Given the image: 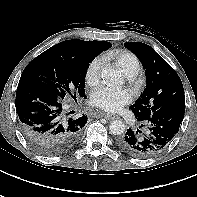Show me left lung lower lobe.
I'll use <instances>...</instances> for the list:
<instances>
[{
    "label": "left lung lower lobe",
    "mask_w": 197,
    "mask_h": 197,
    "mask_svg": "<svg viewBox=\"0 0 197 197\" xmlns=\"http://www.w3.org/2000/svg\"><path fill=\"white\" fill-rule=\"evenodd\" d=\"M185 113V103L163 106L146 120L140 121L146 130L133 131L129 128L118 140L122 151L136 158H149L164 150L179 131Z\"/></svg>",
    "instance_id": "obj_1"
}]
</instances>
